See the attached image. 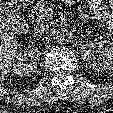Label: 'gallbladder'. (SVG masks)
Segmentation results:
<instances>
[{"mask_svg":"<svg viewBox=\"0 0 113 113\" xmlns=\"http://www.w3.org/2000/svg\"><path fill=\"white\" fill-rule=\"evenodd\" d=\"M1 1V0H0ZM0 6L2 7L3 6V4L2 3H0Z\"/></svg>","mask_w":113,"mask_h":113,"instance_id":"1","label":"gallbladder"}]
</instances>
